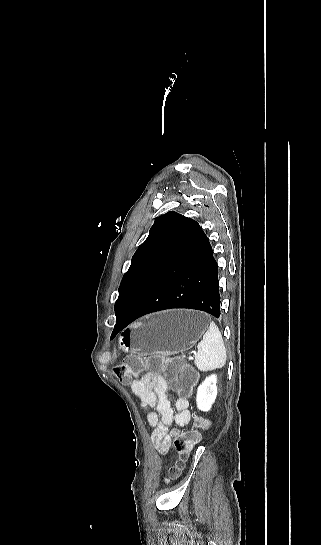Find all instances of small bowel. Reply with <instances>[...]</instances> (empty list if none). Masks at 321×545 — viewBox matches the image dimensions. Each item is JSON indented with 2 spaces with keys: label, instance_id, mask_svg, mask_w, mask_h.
<instances>
[{
  "label": "small bowel",
  "instance_id": "1",
  "mask_svg": "<svg viewBox=\"0 0 321 545\" xmlns=\"http://www.w3.org/2000/svg\"><path fill=\"white\" fill-rule=\"evenodd\" d=\"M168 380L161 375L143 373L131 383V389L137 395L144 409L148 411V423L152 427V442L156 450L167 453L170 446L168 429L176 424L183 427L190 420L189 402L184 397L174 401L175 411L168 399Z\"/></svg>",
  "mask_w": 321,
  "mask_h": 545
}]
</instances>
